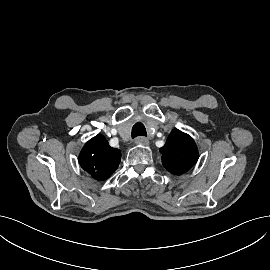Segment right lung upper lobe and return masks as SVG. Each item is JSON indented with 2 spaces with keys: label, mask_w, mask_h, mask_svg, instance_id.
Here are the masks:
<instances>
[{
  "label": "right lung upper lobe",
  "mask_w": 270,
  "mask_h": 270,
  "mask_svg": "<svg viewBox=\"0 0 270 270\" xmlns=\"http://www.w3.org/2000/svg\"><path fill=\"white\" fill-rule=\"evenodd\" d=\"M121 152L109 146L102 135H96L83 147L79 155L81 167L97 180L109 178L117 169Z\"/></svg>",
  "instance_id": "obj_1"
}]
</instances>
